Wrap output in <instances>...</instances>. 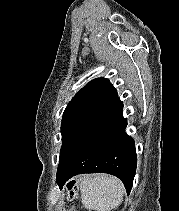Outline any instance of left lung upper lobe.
Masks as SVG:
<instances>
[{
	"label": "left lung upper lobe",
	"instance_id": "obj_1",
	"mask_svg": "<svg viewBox=\"0 0 179 211\" xmlns=\"http://www.w3.org/2000/svg\"><path fill=\"white\" fill-rule=\"evenodd\" d=\"M117 97V91L108 79L97 78L82 88L68 103L61 124L63 143L57 174L70 163L92 125Z\"/></svg>",
	"mask_w": 179,
	"mask_h": 211
}]
</instances>
